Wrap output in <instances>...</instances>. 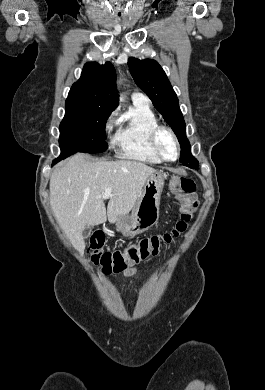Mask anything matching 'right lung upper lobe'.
<instances>
[{
    "label": "right lung upper lobe",
    "instance_id": "right-lung-upper-lobe-1",
    "mask_svg": "<svg viewBox=\"0 0 265 390\" xmlns=\"http://www.w3.org/2000/svg\"><path fill=\"white\" fill-rule=\"evenodd\" d=\"M116 71L110 62L100 65L88 62L81 78L73 84L66 105H87L113 111L119 104Z\"/></svg>",
    "mask_w": 265,
    "mask_h": 390
}]
</instances>
